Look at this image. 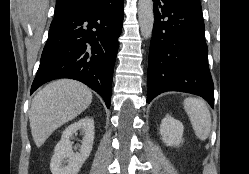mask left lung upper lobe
<instances>
[{"mask_svg": "<svg viewBox=\"0 0 249 174\" xmlns=\"http://www.w3.org/2000/svg\"><path fill=\"white\" fill-rule=\"evenodd\" d=\"M185 4L188 8L202 14V8L199 0H179Z\"/></svg>", "mask_w": 249, "mask_h": 174, "instance_id": "1", "label": "left lung upper lobe"}]
</instances>
